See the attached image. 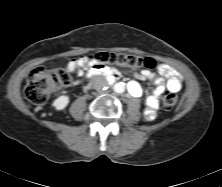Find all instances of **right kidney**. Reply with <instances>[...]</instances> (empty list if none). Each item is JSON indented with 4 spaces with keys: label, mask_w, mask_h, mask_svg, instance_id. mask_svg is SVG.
<instances>
[{
    "label": "right kidney",
    "mask_w": 222,
    "mask_h": 187,
    "mask_svg": "<svg viewBox=\"0 0 222 187\" xmlns=\"http://www.w3.org/2000/svg\"><path fill=\"white\" fill-rule=\"evenodd\" d=\"M68 103L69 97L66 95H61L53 101L52 106L56 110H63L68 105Z\"/></svg>",
    "instance_id": "1"
}]
</instances>
